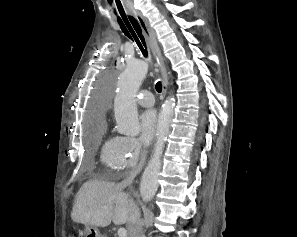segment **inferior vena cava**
<instances>
[{"mask_svg": "<svg viewBox=\"0 0 297 237\" xmlns=\"http://www.w3.org/2000/svg\"><path fill=\"white\" fill-rule=\"evenodd\" d=\"M137 173H138L137 170L131 171L126 176V178L119 184V186L121 188L131 186ZM129 202H130V215L127 221L128 237H143L140 208L132 199H129Z\"/></svg>", "mask_w": 297, "mask_h": 237, "instance_id": "obj_1", "label": "inferior vena cava"}]
</instances>
